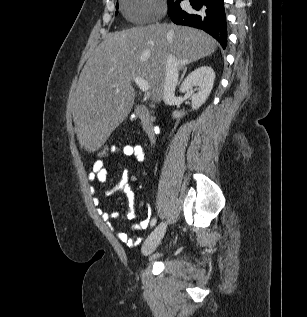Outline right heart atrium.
Returning a JSON list of instances; mask_svg holds the SVG:
<instances>
[{
    "label": "right heart atrium",
    "instance_id": "right-heart-atrium-1",
    "mask_svg": "<svg viewBox=\"0 0 307 317\" xmlns=\"http://www.w3.org/2000/svg\"><path fill=\"white\" fill-rule=\"evenodd\" d=\"M151 1L152 0H139L133 9L132 17L134 19H140L150 15L152 13L149 7Z\"/></svg>",
    "mask_w": 307,
    "mask_h": 317
}]
</instances>
